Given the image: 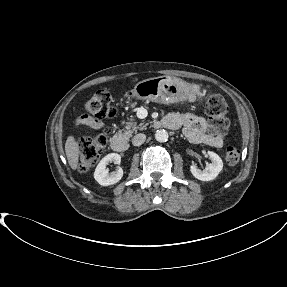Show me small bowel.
Wrapping results in <instances>:
<instances>
[{"label":"small bowel","mask_w":287,"mask_h":287,"mask_svg":"<svg viewBox=\"0 0 287 287\" xmlns=\"http://www.w3.org/2000/svg\"><path fill=\"white\" fill-rule=\"evenodd\" d=\"M172 124V129L183 128L186 137L193 143L205 144L211 147L220 148L224 143L223 136H213L207 132V121L200 116L190 113H169L165 117ZM77 127L98 129L102 124L94 119L82 116L76 120Z\"/></svg>","instance_id":"obj_1"}]
</instances>
